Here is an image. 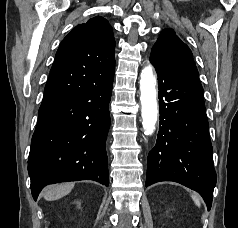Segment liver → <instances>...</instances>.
<instances>
[{"label": "liver", "instance_id": "obj_1", "mask_svg": "<svg viewBox=\"0 0 238 228\" xmlns=\"http://www.w3.org/2000/svg\"><path fill=\"white\" fill-rule=\"evenodd\" d=\"M73 183H65L55 186H50L45 189L43 196L44 199L47 201H54L60 199L71 192L73 189Z\"/></svg>", "mask_w": 238, "mask_h": 228}]
</instances>
